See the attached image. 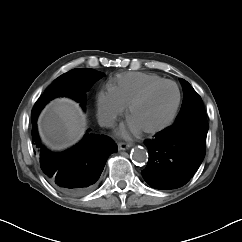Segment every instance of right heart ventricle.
<instances>
[{
    "instance_id": "right-heart-ventricle-1",
    "label": "right heart ventricle",
    "mask_w": 242,
    "mask_h": 242,
    "mask_svg": "<svg viewBox=\"0 0 242 242\" xmlns=\"http://www.w3.org/2000/svg\"><path fill=\"white\" fill-rule=\"evenodd\" d=\"M162 80V77L152 73L129 72L111 80L109 88L125 107L148 86Z\"/></svg>"
}]
</instances>
